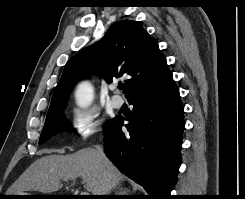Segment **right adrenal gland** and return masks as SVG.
<instances>
[{"mask_svg":"<svg viewBox=\"0 0 245 199\" xmlns=\"http://www.w3.org/2000/svg\"><path fill=\"white\" fill-rule=\"evenodd\" d=\"M129 190L127 188H119L118 193H115V195H128Z\"/></svg>","mask_w":245,"mask_h":199,"instance_id":"right-adrenal-gland-1","label":"right adrenal gland"}]
</instances>
